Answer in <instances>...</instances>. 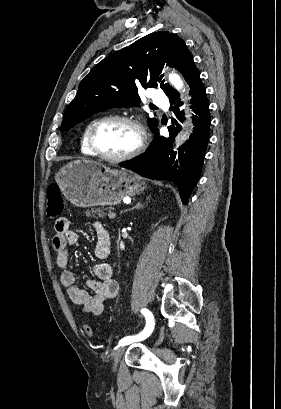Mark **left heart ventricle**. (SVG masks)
Wrapping results in <instances>:
<instances>
[{"label": "left heart ventricle", "instance_id": "left-heart-ventricle-1", "mask_svg": "<svg viewBox=\"0 0 281 409\" xmlns=\"http://www.w3.org/2000/svg\"><path fill=\"white\" fill-rule=\"evenodd\" d=\"M135 128L123 122H109L101 127L97 144L101 153L116 157L131 151L138 144Z\"/></svg>", "mask_w": 281, "mask_h": 409}]
</instances>
